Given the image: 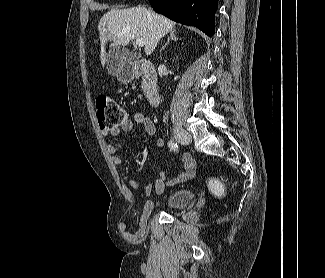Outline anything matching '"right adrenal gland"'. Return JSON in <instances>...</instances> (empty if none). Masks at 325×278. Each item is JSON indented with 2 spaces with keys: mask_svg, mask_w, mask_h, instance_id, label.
Segmentation results:
<instances>
[{
  "mask_svg": "<svg viewBox=\"0 0 325 278\" xmlns=\"http://www.w3.org/2000/svg\"><path fill=\"white\" fill-rule=\"evenodd\" d=\"M175 32H176L175 29H173V30L170 31V36L168 37L167 42L165 43V45L161 48V51H163L165 49V47L169 44V42L171 40H175L176 41L178 39V38H176Z\"/></svg>",
  "mask_w": 325,
  "mask_h": 278,
  "instance_id": "obj_1",
  "label": "right adrenal gland"
}]
</instances>
